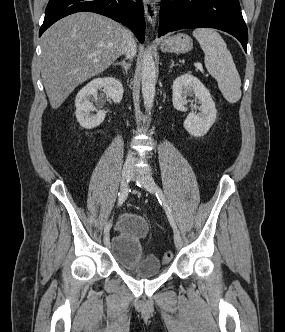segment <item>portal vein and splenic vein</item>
Segmentation results:
<instances>
[{"label": "portal vein and splenic vein", "mask_w": 285, "mask_h": 332, "mask_svg": "<svg viewBox=\"0 0 285 332\" xmlns=\"http://www.w3.org/2000/svg\"><path fill=\"white\" fill-rule=\"evenodd\" d=\"M194 65H195L196 68L202 69V64L201 63H195Z\"/></svg>", "instance_id": "18ae733b"}]
</instances>
